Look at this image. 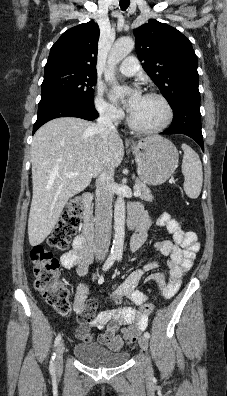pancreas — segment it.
Here are the masks:
<instances>
[{
	"label": "pancreas",
	"instance_id": "obj_1",
	"mask_svg": "<svg viewBox=\"0 0 227 396\" xmlns=\"http://www.w3.org/2000/svg\"><path fill=\"white\" fill-rule=\"evenodd\" d=\"M135 187L140 190V198L144 201H152L153 196L150 193V189L146 186L145 183L141 182L140 180H137L135 183Z\"/></svg>",
	"mask_w": 227,
	"mask_h": 396
}]
</instances>
